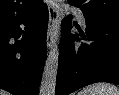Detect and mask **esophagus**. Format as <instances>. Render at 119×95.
I'll return each mask as SVG.
<instances>
[{
  "instance_id": "34e87169",
  "label": "esophagus",
  "mask_w": 119,
  "mask_h": 95,
  "mask_svg": "<svg viewBox=\"0 0 119 95\" xmlns=\"http://www.w3.org/2000/svg\"><path fill=\"white\" fill-rule=\"evenodd\" d=\"M49 24L47 30V47L50 49L56 42L59 27V11L55 0H47Z\"/></svg>"
}]
</instances>
